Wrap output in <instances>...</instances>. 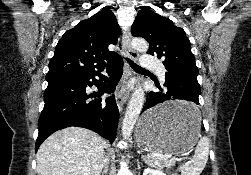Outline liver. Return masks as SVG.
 Listing matches in <instances>:
<instances>
[{
  "label": "liver",
  "instance_id": "6515ba94",
  "mask_svg": "<svg viewBox=\"0 0 251 175\" xmlns=\"http://www.w3.org/2000/svg\"><path fill=\"white\" fill-rule=\"evenodd\" d=\"M105 143L84 127L55 131L41 143L36 161L38 175H100Z\"/></svg>",
  "mask_w": 251,
  "mask_h": 175
}]
</instances>
